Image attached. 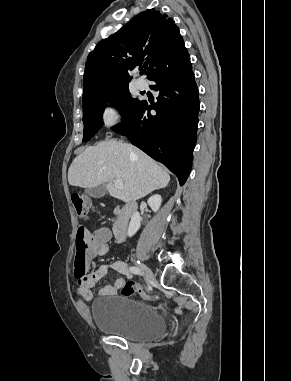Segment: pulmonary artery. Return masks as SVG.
Masks as SVG:
<instances>
[{
  "label": "pulmonary artery",
  "instance_id": "pulmonary-artery-1",
  "mask_svg": "<svg viewBox=\"0 0 291 381\" xmlns=\"http://www.w3.org/2000/svg\"><path fill=\"white\" fill-rule=\"evenodd\" d=\"M135 85L139 90H144L147 87V83L143 79H137Z\"/></svg>",
  "mask_w": 291,
  "mask_h": 381
}]
</instances>
